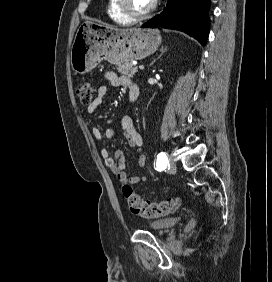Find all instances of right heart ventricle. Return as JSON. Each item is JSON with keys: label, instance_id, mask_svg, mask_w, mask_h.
I'll return each mask as SVG.
<instances>
[{"label": "right heart ventricle", "instance_id": "1", "mask_svg": "<svg viewBox=\"0 0 272 282\" xmlns=\"http://www.w3.org/2000/svg\"><path fill=\"white\" fill-rule=\"evenodd\" d=\"M108 12L110 17L117 23L129 25L132 20L127 18L117 7V0H109Z\"/></svg>", "mask_w": 272, "mask_h": 282}]
</instances>
